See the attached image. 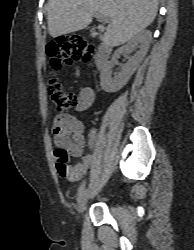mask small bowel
Listing matches in <instances>:
<instances>
[{
	"label": "small bowel",
	"instance_id": "small-bowel-1",
	"mask_svg": "<svg viewBox=\"0 0 194 250\" xmlns=\"http://www.w3.org/2000/svg\"><path fill=\"white\" fill-rule=\"evenodd\" d=\"M95 99L94 90L91 87H84L78 96L79 111L88 109ZM85 126L82 121L69 113L57 114L52 125V135L58 149H64L72 157L81 160L75 164H69L64 170L59 164L57 171L59 175L69 181H78L89 169L93 157L90 154L84 155L86 145L84 136ZM96 140L95 131H91L88 137V145L92 147Z\"/></svg>",
	"mask_w": 194,
	"mask_h": 250
}]
</instances>
